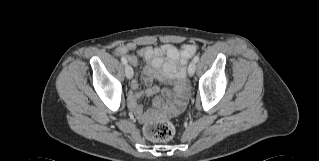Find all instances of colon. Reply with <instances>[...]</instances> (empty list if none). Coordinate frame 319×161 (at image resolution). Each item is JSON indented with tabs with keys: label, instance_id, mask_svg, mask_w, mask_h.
<instances>
[{
	"label": "colon",
	"instance_id": "1",
	"mask_svg": "<svg viewBox=\"0 0 319 161\" xmlns=\"http://www.w3.org/2000/svg\"><path fill=\"white\" fill-rule=\"evenodd\" d=\"M175 133L174 126L166 120H158L144 127L145 136L154 141H166Z\"/></svg>",
	"mask_w": 319,
	"mask_h": 161
}]
</instances>
